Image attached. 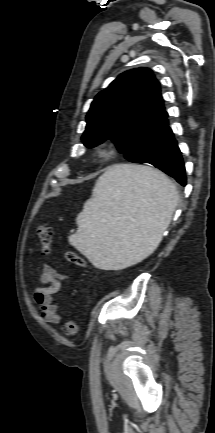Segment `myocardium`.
<instances>
[{
	"label": "myocardium",
	"mask_w": 215,
	"mask_h": 433,
	"mask_svg": "<svg viewBox=\"0 0 215 433\" xmlns=\"http://www.w3.org/2000/svg\"><path fill=\"white\" fill-rule=\"evenodd\" d=\"M116 153V147L111 143H103L95 149V157L99 161H107Z\"/></svg>",
	"instance_id": "obj_1"
}]
</instances>
